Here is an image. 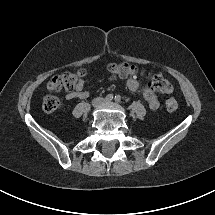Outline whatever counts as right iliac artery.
<instances>
[{
  "instance_id": "1",
  "label": "right iliac artery",
  "mask_w": 215,
  "mask_h": 215,
  "mask_svg": "<svg viewBox=\"0 0 215 215\" xmlns=\"http://www.w3.org/2000/svg\"><path fill=\"white\" fill-rule=\"evenodd\" d=\"M105 99L111 101L113 99V94H108Z\"/></svg>"
}]
</instances>
